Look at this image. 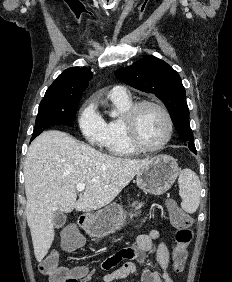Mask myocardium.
I'll return each instance as SVG.
<instances>
[{
	"mask_svg": "<svg viewBox=\"0 0 232 282\" xmlns=\"http://www.w3.org/2000/svg\"><path fill=\"white\" fill-rule=\"evenodd\" d=\"M145 107H153L156 108L157 110H159L167 123V135L164 138V140L162 142H160L157 145L154 146H148L145 145L139 138L138 136V132H137V118H138V114L139 112L145 108ZM124 125H125V130H126V135L127 138L130 142V144L137 149L138 151L141 152H153V151H157L162 149L163 147H165L171 140L172 136H173V132H174V123H173V119L170 115V113L168 112V110L162 106L161 104L154 102V101H150V100H143V101H139L134 103L125 113L124 115Z\"/></svg>",
	"mask_w": 232,
	"mask_h": 282,
	"instance_id": "f54148a6",
	"label": "myocardium"
}]
</instances>
